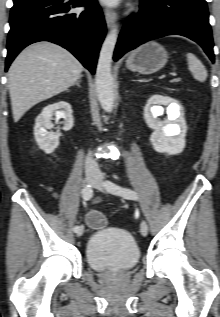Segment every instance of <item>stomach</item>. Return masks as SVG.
Wrapping results in <instances>:
<instances>
[{"mask_svg":"<svg viewBox=\"0 0 220 317\" xmlns=\"http://www.w3.org/2000/svg\"><path fill=\"white\" fill-rule=\"evenodd\" d=\"M168 61L164 47L155 41H149L132 51L126 60V67L140 74L149 75L162 69Z\"/></svg>","mask_w":220,"mask_h":317,"instance_id":"stomach-1","label":"stomach"}]
</instances>
